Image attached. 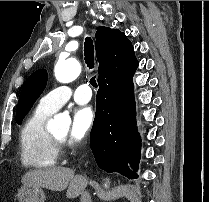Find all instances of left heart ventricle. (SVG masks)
Here are the masks:
<instances>
[{"label":"left heart ventricle","instance_id":"1","mask_svg":"<svg viewBox=\"0 0 209 202\" xmlns=\"http://www.w3.org/2000/svg\"><path fill=\"white\" fill-rule=\"evenodd\" d=\"M54 136H56L57 138L64 139L66 136V132H58V133H55Z\"/></svg>","mask_w":209,"mask_h":202}]
</instances>
